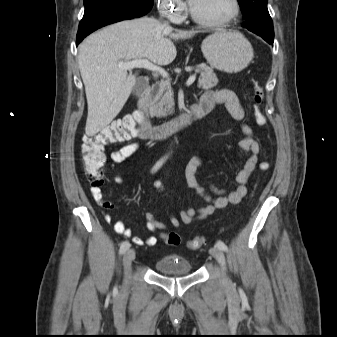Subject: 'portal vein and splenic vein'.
<instances>
[{"mask_svg":"<svg viewBox=\"0 0 337 337\" xmlns=\"http://www.w3.org/2000/svg\"><path fill=\"white\" fill-rule=\"evenodd\" d=\"M118 67L121 69H125V70H131L134 68H144V69H147L153 72H158L163 77H166V78L168 77V73L163 68L151 63L147 59H139V60L125 61V62L122 61L118 63ZM195 80H196V75L194 74L188 78L186 85L190 86L191 84L194 83Z\"/></svg>","mask_w":337,"mask_h":337,"instance_id":"obj_1","label":"portal vein and splenic vein"}]
</instances>
